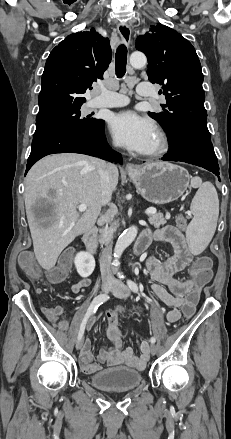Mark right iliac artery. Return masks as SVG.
Segmentation results:
<instances>
[{
  "mask_svg": "<svg viewBox=\"0 0 231 439\" xmlns=\"http://www.w3.org/2000/svg\"><path fill=\"white\" fill-rule=\"evenodd\" d=\"M109 299V296L106 294H100L98 296H96L93 301L91 302L89 308L87 309V312L81 322L80 325V329L78 332V340L81 339L83 337L84 334V330L87 324V321L89 319V317L96 312V310L98 309V307L103 304L105 301H107Z\"/></svg>",
  "mask_w": 231,
  "mask_h": 439,
  "instance_id": "right-iliac-artery-1",
  "label": "right iliac artery"
}]
</instances>
